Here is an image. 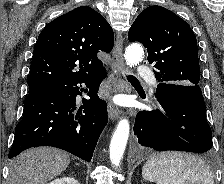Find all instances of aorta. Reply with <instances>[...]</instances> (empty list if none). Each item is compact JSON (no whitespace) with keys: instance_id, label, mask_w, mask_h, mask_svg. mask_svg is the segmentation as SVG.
I'll use <instances>...</instances> for the list:
<instances>
[{"instance_id":"obj_1","label":"aorta","mask_w":224,"mask_h":184,"mask_svg":"<svg viewBox=\"0 0 224 184\" xmlns=\"http://www.w3.org/2000/svg\"><path fill=\"white\" fill-rule=\"evenodd\" d=\"M126 64L135 66L143 60L144 51L141 45L133 43L125 50ZM130 125L127 119L119 121L110 143V160L114 167L120 165L128 141Z\"/></svg>"}]
</instances>
